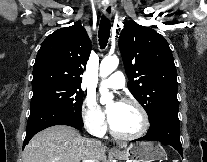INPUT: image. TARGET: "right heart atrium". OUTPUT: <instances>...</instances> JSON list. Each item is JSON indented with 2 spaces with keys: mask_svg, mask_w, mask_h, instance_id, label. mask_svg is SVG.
Wrapping results in <instances>:
<instances>
[{
  "mask_svg": "<svg viewBox=\"0 0 207 162\" xmlns=\"http://www.w3.org/2000/svg\"><path fill=\"white\" fill-rule=\"evenodd\" d=\"M81 116L86 128L93 134L101 135L106 129V123L102 110L96 99L87 96L83 102Z\"/></svg>",
  "mask_w": 207,
  "mask_h": 162,
  "instance_id": "right-heart-atrium-1",
  "label": "right heart atrium"
}]
</instances>
